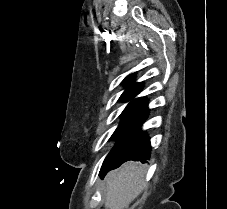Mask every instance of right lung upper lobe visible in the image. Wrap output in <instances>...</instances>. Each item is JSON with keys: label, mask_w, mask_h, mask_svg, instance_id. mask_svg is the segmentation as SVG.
I'll return each instance as SVG.
<instances>
[{"label": "right lung upper lobe", "mask_w": 227, "mask_h": 209, "mask_svg": "<svg viewBox=\"0 0 227 209\" xmlns=\"http://www.w3.org/2000/svg\"><path fill=\"white\" fill-rule=\"evenodd\" d=\"M134 74L129 75L125 78L124 82H126V90L120 97V101H127L137 95L143 88L142 83H134L133 82ZM131 104L142 106L147 108V100L145 98H138L131 102Z\"/></svg>", "instance_id": "cb5924a9"}]
</instances>
